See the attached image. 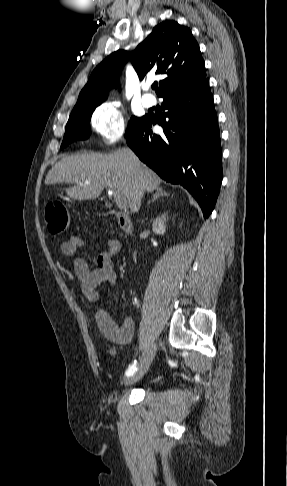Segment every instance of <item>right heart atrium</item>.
<instances>
[{"instance_id":"d8ad5b80","label":"right heart atrium","mask_w":287,"mask_h":486,"mask_svg":"<svg viewBox=\"0 0 287 486\" xmlns=\"http://www.w3.org/2000/svg\"><path fill=\"white\" fill-rule=\"evenodd\" d=\"M90 127L105 144H113L125 133V113L116 103L101 104L90 117Z\"/></svg>"}]
</instances>
